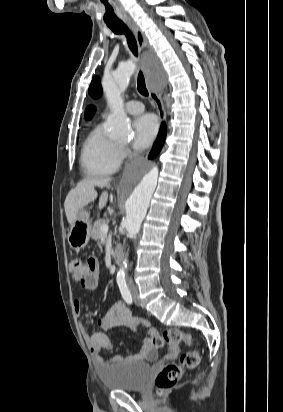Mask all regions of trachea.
Returning <instances> with one entry per match:
<instances>
[{"instance_id": "trachea-1", "label": "trachea", "mask_w": 283, "mask_h": 412, "mask_svg": "<svg viewBox=\"0 0 283 412\" xmlns=\"http://www.w3.org/2000/svg\"><path fill=\"white\" fill-rule=\"evenodd\" d=\"M107 26L115 34H124L127 38V43H128V46H129L130 50L133 52V54L135 56L138 55V48H137L136 39L124 23H122V22L110 23V24H107ZM137 88H138V91H139L140 94H142L144 96H148V91H147L146 85H145V79H144L143 73L141 71L138 74Z\"/></svg>"}]
</instances>
